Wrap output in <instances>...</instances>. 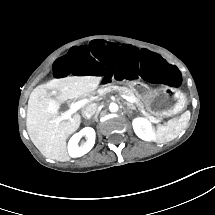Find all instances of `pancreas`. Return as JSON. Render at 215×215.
Masks as SVG:
<instances>
[{"label":"pancreas","mask_w":215,"mask_h":215,"mask_svg":"<svg viewBox=\"0 0 215 215\" xmlns=\"http://www.w3.org/2000/svg\"><path fill=\"white\" fill-rule=\"evenodd\" d=\"M109 92H118V93H121V94H126L128 96H131V97H134V93L132 90L126 88V87H121V86H117V85H112V84H108L106 85L105 87H100L99 89L91 92V95H97V96H103ZM135 105L138 106L139 110L146 116L148 117L149 119H152L154 121H156L157 123L160 122L159 119L153 117V116H150L149 113H147L145 110H144V107H143V104L141 103L140 100L136 99L135 101ZM135 105L131 102H128V107L132 108V109H136Z\"/></svg>","instance_id":"pancreas-1"}]
</instances>
